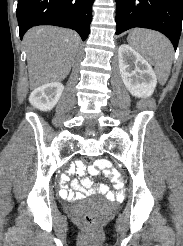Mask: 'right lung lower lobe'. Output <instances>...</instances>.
<instances>
[{"label":"right lung lower lobe","instance_id":"1","mask_svg":"<svg viewBox=\"0 0 183 246\" xmlns=\"http://www.w3.org/2000/svg\"><path fill=\"white\" fill-rule=\"evenodd\" d=\"M94 0H18L19 34L33 26L55 25L77 31L82 40L90 33Z\"/></svg>","mask_w":183,"mask_h":246}]
</instances>
